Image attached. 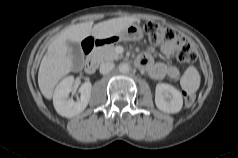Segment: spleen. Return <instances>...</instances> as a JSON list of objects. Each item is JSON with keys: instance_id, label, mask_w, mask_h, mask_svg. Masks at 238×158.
I'll list each match as a JSON object with an SVG mask.
<instances>
[{"instance_id": "obj_1", "label": "spleen", "mask_w": 238, "mask_h": 158, "mask_svg": "<svg viewBox=\"0 0 238 158\" xmlns=\"http://www.w3.org/2000/svg\"><path fill=\"white\" fill-rule=\"evenodd\" d=\"M200 85V75L194 66H190L181 78V86L184 90L194 93Z\"/></svg>"}]
</instances>
